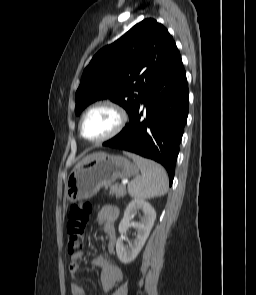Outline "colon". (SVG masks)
I'll return each mask as SVG.
<instances>
[{
  "label": "colon",
  "mask_w": 256,
  "mask_h": 295,
  "mask_svg": "<svg viewBox=\"0 0 256 295\" xmlns=\"http://www.w3.org/2000/svg\"><path fill=\"white\" fill-rule=\"evenodd\" d=\"M92 211V205L85 201H77L71 205L68 213L66 245L69 254L73 255L81 250L84 230Z\"/></svg>",
  "instance_id": "1"
}]
</instances>
